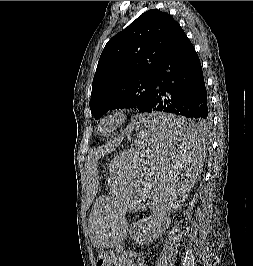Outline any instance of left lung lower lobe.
Returning <instances> with one entry per match:
<instances>
[{"instance_id": "left-lung-lower-lobe-1", "label": "left lung lower lobe", "mask_w": 253, "mask_h": 266, "mask_svg": "<svg viewBox=\"0 0 253 266\" xmlns=\"http://www.w3.org/2000/svg\"><path fill=\"white\" fill-rule=\"evenodd\" d=\"M168 112L189 118L179 124L154 126L157 134L187 141L210 126L207 91L199 57L179 24L157 63L152 97L146 112Z\"/></svg>"}]
</instances>
